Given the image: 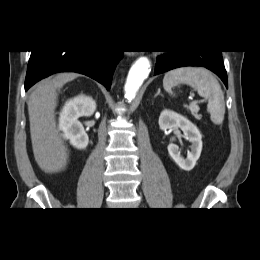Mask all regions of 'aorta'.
Wrapping results in <instances>:
<instances>
[{
  "label": "aorta",
  "instance_id": "obj_1",
  "mask_svg": "<svg viewBox=\"0 0 260 260\" xmlns=\"http://www.w3.org/2000/svg\"><path fill=\"white\" fill-rule=\"evenodd\" d=\"M150 72V62L146 57H140L130 68L125 83V98L132 101L144 80L148 77Z\"/></svg>",
  "mask_w": 260,
  "mask_h": 260
}]
</instances>
